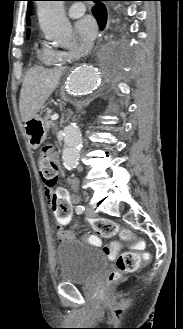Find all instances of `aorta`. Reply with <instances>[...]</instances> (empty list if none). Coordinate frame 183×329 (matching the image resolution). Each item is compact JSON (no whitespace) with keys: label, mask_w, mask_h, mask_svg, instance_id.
<instances>
[{"label":"aorta","mask_w":183,"mask_h":329,"mask_svg":"<svg viewBox=\"0 0 183 329\" xmlns=\"http://www.w3.org/2000/svg\"><path fill=\"white\" fill-rule=\"evenodd\" d=\"M38 18L45 37L60 46H69L72 28L64 14L63 1H38ZM102 74V64L91 62L82 64L71 72L67 80V91L71 95L90 93L97 89ZM63 163L66 168L76 167L82 144L81 131L75 122L64 128Z\"/></svg>","instance_id":"762f6f07"}]
</instances>
